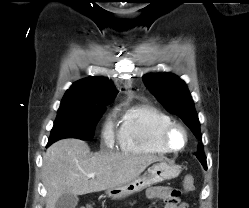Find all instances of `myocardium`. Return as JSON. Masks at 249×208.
Masks as SVG:
<instances>
[{"label":"myocardium","instance_id":"f54148a6","mask_svg":"<svg viewBox=\"0 0 249 208\" xmlns=\"http://www.w3.org/2000/svg\"><path fill=\"white\" fill-rule=\"evenodd\" d=\"M175 130H180L184 135V143L181 147H174L170 143V140H169L170 135ZM159 141H160V144L168 152H180L187 147L188 141H189V134H188L186 127L183 124H181L179 122L172 121L171 123H169L165 127H163L162 130L160 131Z\"/></svg>","mask_w":249,"mask_h":208}]
</instances>
